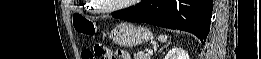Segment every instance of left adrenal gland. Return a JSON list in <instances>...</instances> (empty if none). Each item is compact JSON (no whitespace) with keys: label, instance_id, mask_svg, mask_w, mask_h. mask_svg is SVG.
Wrapping results in <instances>:
<instances>
[{"label":"left adrenal gland","instance_id":"left-adrenal-gland-1","mask_svg":"<svg viewBox=\"0 0 261 59\" xmlns=\"http://www.w3.org/2000/svg\"><path fill=\"white\" fill-rule=\"evenodd\" d=\"M168 45H169V42L166 45H164L160 50H163V48H166Z\"/></svg>","mask_w":261,"mask_h":59}]
</instances>
